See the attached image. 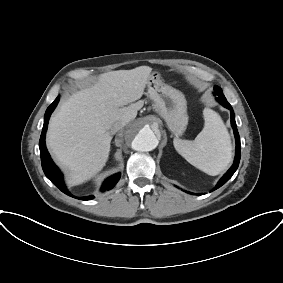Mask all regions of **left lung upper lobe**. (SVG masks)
Here are the masks:
<instances>
[{
    "mask_svg": "<svg viewBox=\"0 0 283 283\" xmlns=\"http://www.w3.org/2000/svg\"><path fill=\"white\" fill-rule=\"evenodd\" d=\"M215 95H217L218 97L224 96L222 89L218 86H215Z\"/></svg>",
    "mask_w": 283,
    "mask_h": 283,
    "instance_id": "5c2ea615",
    "label": "left lung upper lobe"
}]
</instances>
